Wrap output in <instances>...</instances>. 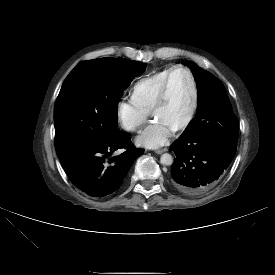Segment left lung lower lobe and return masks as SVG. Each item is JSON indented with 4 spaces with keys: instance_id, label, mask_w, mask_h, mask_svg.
Here are the masks:
<instances>
[{
    "instance_id": "1",
    "label": "left lung lower lobe",
    "mask_w": 275,
    "mask_h": 275,
    "mask_svg": "<svg viewBox=\"0 0 275 275\" xmlns=\"http://www.w3.org/2000/svg\"><path fill=\"white\" fill-rule=\"evenodd\" d=\"M170 148L176 154L173 185L182 193L197 195L217 183L235 156L237 140L227 134L179 137Z\"/></svg>"
}]
</instances>
